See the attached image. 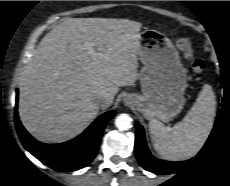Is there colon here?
<instances>
[{
	"label": "colon",
	"instance_id": "5ec220e1",
	"mask_svg": "<svg viewBox=\"0 0 230 186\" xmlns=\"http://www.w3.org/2000/svg\"><path fill=\"white\" fill-rule=\"evenodd\" d=\"M176 43L185 59L189 62L196 78L202 79L205 75L207 66L202 59L195 56L190 40L187 38H178Z\"/></svg>",
	"mask_w": 230,
	"mask_h": 186
}]
</instances>
